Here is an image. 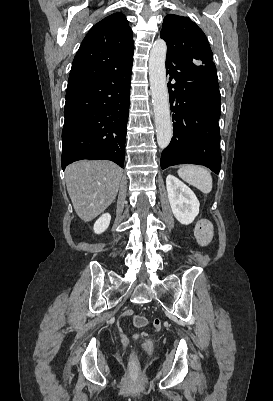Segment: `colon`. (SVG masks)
Returning a JSON list of instances; mask_svg holds the SVG:
<instances>
[{
    "instance_id": "colon-1",
    "label": "colon",
    "mask_w": 273,
    "mask_h": 401,
    "mask_svg": "<svg viewBox=\"0 0 273 401\" xmlns=\"http://www.w3.org/2000/svg\"><path fill=\"white\" fill-rule=\"evenodd\" d=\"M201 228L207 230L210 227V223L208 221H203L200 223ZM200 241H211L212 233L211 232H200L199 233ZM135 325L137 328H144L146 325L145 318L143 315H136L134 318ZM128 356L131 358V363L128 368V378L131 381H137L140 378V374L142 369L138 363L137 351L135 349H130L128 351Z\"/></svg>"
}]
</instances>
